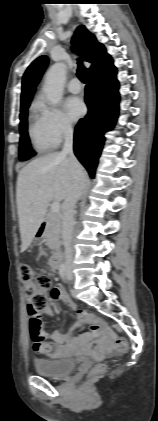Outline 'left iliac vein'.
Instances as JSON below:
<instances>
[{"mask_svg": "<svg viewBox=\"0 0 158 421\" xmlns=\"http://www.w3.org/2000/svg\"><path fill=\"white\" fill-rule=\"evenodd\" d=\"M67 279H68V280H71V279H72V277L70 276V274H69V273H67Z\"/></svg>", "mask_w": 158, "mask_h": 421, "instance_id": "1", "label": "left iliac vein"}]
</instances>
